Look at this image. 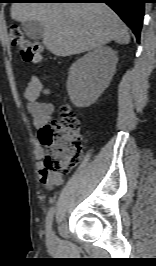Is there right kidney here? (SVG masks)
<instances>
[{
  "label": "right kidney",
  "mask_w": 156,
  "mask_h": 266,
  "mask_svg": "<svg viewBox=\"0 0 156 266\" xmlns=\"http://www.w3.org/2000/svg\"><path fill=\"white\" fill-rule=\"evenodd\" d=\"M117 62L116 52L105 46L88 52L73 63L67 80L71 102L79 108L93 104L108 87Z\"/></svg>",
  "instance_id": "1"
}]
</instances>
